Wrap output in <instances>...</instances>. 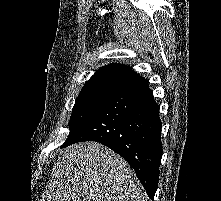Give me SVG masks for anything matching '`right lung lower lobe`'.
I'll return each instance as SVG.
<instances>
[{
  "instance_id": "1",
  "label": "right lung lower lobe",
  "mask_w": 221,
  "mask_h": 201,
  "mask_svg": "<svg viewBox=\"0 0 221 201\" xmlns=\"http://www.w3.org/2000/svg\"><path fill=\"white\" fill-rule=\"evenodd\" d=\"M159 107L145 78L139 77L109 98L61 148L97 141L121 155L153 199L162 157Z\"/></svg>"
}]
</instances>
